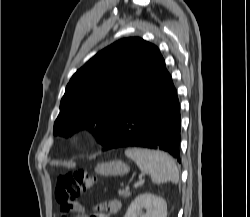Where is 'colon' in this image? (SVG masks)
I'll list each match as a JSON object with an SVG mask.
<instances>
[{
  "label": "colon",
  "instance_id": "obj_1",
  "mask_svg": "<svg viewBox=\"0 0 250 217\" xmlns=\"http://www.w3.org/2000/svg\"><path fill=\"white\" fill-rule=\"evenodd\" d=\"M94 177L86 171H67L60 174L56 180L55 196L64 209H70L80 204L82 194L94 185ZM90 217H104L101 205L96 206Z\"/></svg>",
  "mask_w": 250,
  "mask_h": 217
}]
</instances>
